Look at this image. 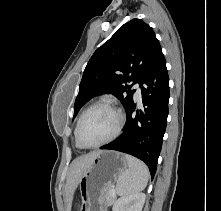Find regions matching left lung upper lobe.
<instances>
[{
	"label": "left lung upper lobe",
	"mask_w": 221,
	"mask_h": 211,
	"mask_svg": "<svg viewBox=\"0 0 221 211\" xmlns=\"http://www.w3.org/2000/svg\"><path fill=\"white\" fill-rule=\"evenodd\" d=\"M160 50L153 29L142 20L122 25L90 58L75 100L74 117L89 99L103 93L115 95L127 110L133 103L129 88L141 83Z\"/></svg>",
	"instance_id": "5c2ea615"
}]
</instances>
